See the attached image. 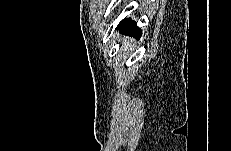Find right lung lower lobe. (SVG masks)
<instances>
[{
    "label": "right lung lower lobe",
    "instance_id": "obj_1",
    "mask_svg": "<svg viewBox=\"0 0 231 151\" xmlns=\"http://www.w3.org/2000/svg\"><path fill=\"white\" fill-rule=\"evenodd\" d=\"M118 27L122 29V33H125L126 35L134 36L135 38L138 39L140 38L142 33L141 29L130 18L123 19L119 23Z\"/></svg>",
    "mask_w": 231,
    "mask_h": 151
}]
</instances>
